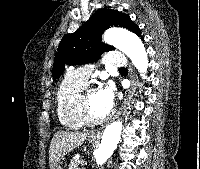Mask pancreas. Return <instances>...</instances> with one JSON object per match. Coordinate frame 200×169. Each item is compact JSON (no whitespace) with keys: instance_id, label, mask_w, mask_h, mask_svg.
Here are the masks:
<instances>
[{"instance_id":"cf45deb5","label":"pancreas","mask_w":200,"mask_h":169,"mask_svg":"<svg viewBox=\"0 0 200 169\" xmlns=\"http://www.w3.org/2000/svg\"><path fill=\"white\" fill-rule=\"evenodd\" d=\"M81 160L80 159H77V158H73L71 160V163L69 165V168L68 169H80V164H81ZM84 169V168H82Z\"/></svg>"}]
</instances>
